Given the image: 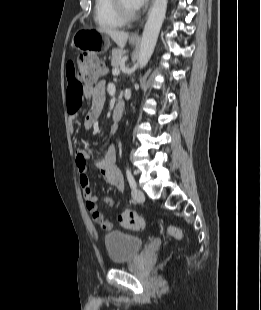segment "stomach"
<instances>
[{
  "label": "stomach",
  "mask_w": 261,
  "mask_h": 310,
  "mask_svg": "<svg viewBox=\"0 0 261 310\" xmlns=\"http://www.w3.org/2000/svg\"><path fill=\"white\" fill-rule=\"evenodd\" d=\"M131 43L135 44L134 41ZM72 44L80 51L91 50L95 53H104L110 46V40L104 32L94 29H81L74 34Z\"/></svg>",
  "instance_id": "stomach-1"
}]
</instances>
